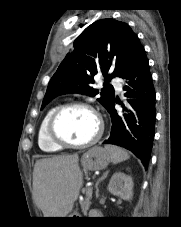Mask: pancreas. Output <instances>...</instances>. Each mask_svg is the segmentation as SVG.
<instances>
[{
    "instance_id": "obj_1",
    "label": "pancreas",
    "mask_w": 181,
    "mask_h": 227,
    "mask_svg": "<svg viewBox=\"0 0 181 227\" xmlns=\"http://www.w3.org/2000/svg\"><path fill=\"white\" fill-rule=\"evenodd\" d=\"M90 199H91V198H90L89 195L86 193V198H85V200H84L83 202L80 203L81 209H82V212H83L84 215L87 214V211L89 210V207H90V205H91Z\"/></svg>"
}]
</instances>
